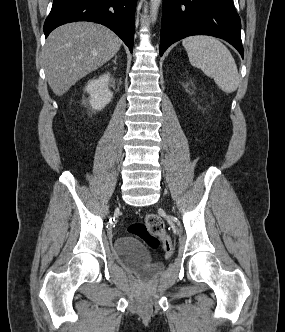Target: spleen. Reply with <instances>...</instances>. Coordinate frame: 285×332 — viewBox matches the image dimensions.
Segmentation results:
<instances>
[{"instance_id": "1", "label": "spleen", "mask_w": 285, "mask_h": 332, "mask_svg": "<svg viewBox=\"0 0 285 332\" xmlns=\"http://www.w3.org/2000/svg\"><path fill=\"white\" fill-rule=\"evenodd\" d=\"M192 66L214 79L225 93L234 92L239 85L235 60L228 48L211 36L196 35L183 39Z\"/></svg>"}]
</instances>
